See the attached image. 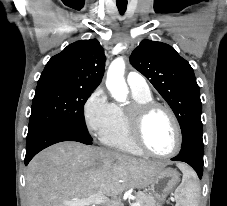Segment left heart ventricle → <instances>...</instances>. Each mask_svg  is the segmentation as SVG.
I'll use <instances>...</instances> for the list:
<instances>
[{"instance_id": "1", "label": "left heart ventricle", "mask_w": 227, "mask_h": 206, "mask_svg": "<svg viewBox=\"0 0 227 206\" xmlns=\"http://www.w3.org/2000/svg\"><path fill=\"white\" fill-rule=\"evenodd\" d=\"M144 137L148 147L159 154L171 152L176 144L174 125L168 115L160 110L149 117Z\"/></svg>"}]
</instances>
